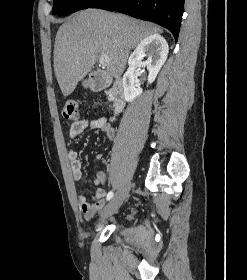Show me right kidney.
Masks as SVG:
<instances>
[{"label":"right kidney","instance_id":"obj_1","mask_svg":"<svg viewBox=\"0 0 247 280\" xmlns=\"http://www.w3.org/2000/svg\"><path fill=\"white\" fill-rule=\"evenodd\" d=\"M169 47L166 40L159 34L144 38L129 58V68L123 77L124 96L127 102H132L141 95L142 89L136 84L135 70L147 68L148 84L154 82L168 56ZM147 56V61H142Z\"/></svg>","mask_w":247,"mask_h":280}]
</instances>
